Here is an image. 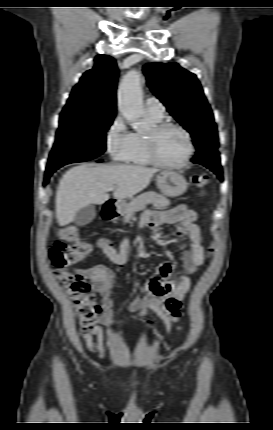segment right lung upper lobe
Segmentation results:
<instances>
[{
    "instance_id": "cb5924a9",
    "label": "right lung upper lobe",
    "mask_w": 273,
    "mask_h": 430,
    "mask_svg": "<svg viewBox=\"0 0 273 430\" xmlns=\"http://www.w3.org/2000/svg\"><path fill=\"white\" fill-rule=\"evenodd\" d=\"M117 77L115 60L107 55H98L93 69L86 71L72 89L63 111L115 115Z\"/></svg>"
}]
</instances>
